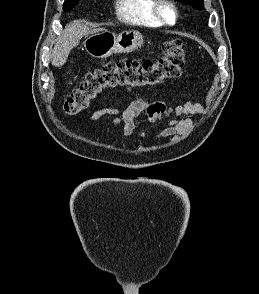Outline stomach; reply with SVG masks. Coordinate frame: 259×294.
I'll use <instances>...</instances> for the list:
<instances>
[{
    "mask_svg": "<svg viewBox=\"0 0 259 294\" xmlns=\"http://www.w3.org/2000/svg\"><path fill=\"white\" fill-rule=\"evenodd\" d=\"M144 43L141 33L124 31L119 35L108 30H100L87 36L84 47L95 58H107L116 53H129Z\"/></svg>",
    "mask_w": 259,
    "mask_h": 294,
    "instance_id": "stomach-1",
    "label": "stomach"
}]
</instances>
